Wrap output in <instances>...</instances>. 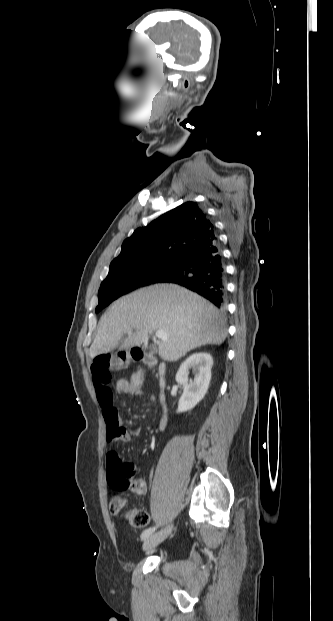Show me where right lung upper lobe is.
<instances>
[{
    "label": "right lung upper lobe",
    "mask_w": 333,
    "mask_h": 621,
    "mask_svg": "<svg viewBox=\"0 0 333 621\" xmlns=\"http://www.w3.org/2000/svg\"><path fill=\"white\" fill-rule=\"evenodd\" d=\"M216 239L214 225L197 203L188 201L136 229L111 264L159 257L184 258Z\"/></svg>",
    "instance_id": "1"
}]
</instances>
